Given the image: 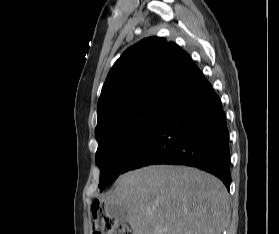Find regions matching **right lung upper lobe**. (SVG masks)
<instances>
[{
  "instance_id": "1",
  "label": "right lung upper lobe",
  "mask_w": 279,
  "mask_h": 234,
  "mask_svg": "<svg viewBox=\"0 0 279 234\" xmlns=\"http://www.w3.org/2000/svg\"><path fill=\"white\" fill-rule=\"evenodd\" d=\"M201 74L191 57L161 37L128 48L108 73L97 105V127L125 112L171 104Z\"/></svg>"
}]
</instances>
